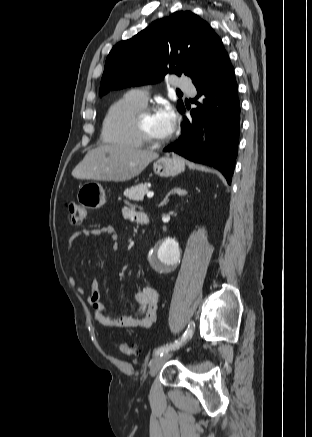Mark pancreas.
Returning <instances> with one entry per match:
<instances>
[{"mask_svg":"<svg viewBox=\"0 0 312 437\" xmlns=\"http://www.w3.org/2000/svg\"><path fill=\"white\" fill-rule=\"evenodd\" d=\"M148 192V184L141 183L133 186L124 192V196L133 201H142L145 194Z\"/></svg>","mask_w":312,"mask_h":437,"instance_id":"1","label":"pancreas"}]
</instances>
